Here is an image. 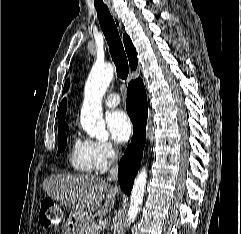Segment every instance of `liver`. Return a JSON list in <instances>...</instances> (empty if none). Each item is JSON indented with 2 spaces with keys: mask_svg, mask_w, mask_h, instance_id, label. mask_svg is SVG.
Returning <instances> with one entry per match:
<instances>
[{
  "mask_svg": "<svg viewBox=\"0 0 241 234\" xmlns=\"http://www.w3.org/2000/svg\"><path fill=\"white\" fill-rule=\"evenodd\" d=\"M43 189L61 204L85 213L88 220V214L93 211L97 210L99 216L108 213L118 193L105 179L85 174L51 175L43 181ZM104 199L105 204L101 207Z\"/></svg>",
  "mask_w": 241,
  "mask_h": 234,
  "instance_id": "1",
  "label": "liver"
}]
</instances>
